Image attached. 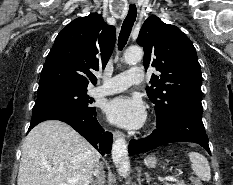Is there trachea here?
Here are the masks:
<instances>
[{
  "instance_id": "3493384b",
  "label": "trachea",
  "mask_w": 233,
  "mask_h": 185,
  "mask_svg": "<svg viewBox=\"0 0 233 185\" xmlns=\"http://www.w3.org/2000/svg\"><path fill=\"white\" fill-rule=\"evenodd\" d=\"M136 16H137V9H136L135 5H130L128 14H127V16L122 24V30L120 32V36H119V40H118V49L119 50H122L123 47L125 46L128 38L130 36L134 22L136 20Z\"/></svg>"
}]
</instances>
